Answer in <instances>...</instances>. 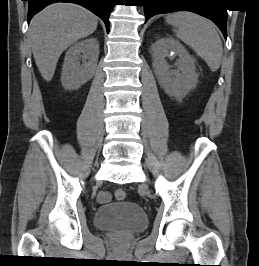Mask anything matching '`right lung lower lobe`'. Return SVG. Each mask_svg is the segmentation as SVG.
Here are the masks:
<instances>
[{"label":"right lung lower lobe","mask_w":259,"mask_h":266,"mask_svg":"<svg viewBox=\"0 0 259 266\" xmlns=\"http://www.w3.org/2000/svg\"><path fill=\"white\" fill-rule=\"evenodd\" d=\"M29 2L28 8V22L31 18L41 11L45 6L55 3H77L91 10L93 13L97 14L104 22L109 32V16L114 7L115 0H26Z\"/></svg>","instance_id":"98d812e1"}]
</instances>
